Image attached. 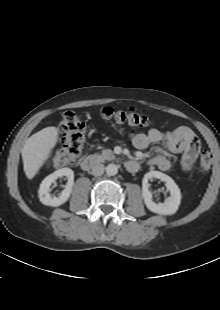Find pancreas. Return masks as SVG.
Wrapping results in <instances>:
<instances>
[{"label":"pancreas","instance_id":"pancreas-1","mask_svg":"<svg viewBox=\"0 0 220 310\" xmlns=\"http://www.w3.org/2000/svg\"><path fill=\"white\" fill-rule=\"evenodd\" d=\"M99 157L101 158V160H112V159H115V156H114L112 150H110V149L102 150V152L99 155Z\"/></svg>","mask_w":220,"mask_h":310}]
</instances>
